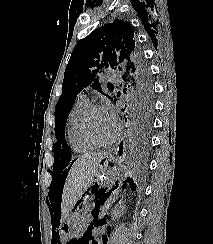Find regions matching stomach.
I'll return each instance as SVG.
<instances>
[{"label":"stomach","mask_w":213,"mask_h":244,"mask_svg":"<svg viewBox=\"0 0 213 244\" xmlns=\"http://www.w3.org/2000/svg\"><path fill=\"white\" fill-rule=\"evenodd\" d=\"M120 165L112 154H107L103 160L99 169L97 170L93 183L85 191L86 193L92 192L94 187H101L104 185H111L117 179V175L120 172ZM80 199L72 209L70 210L68 216L60 225V235L65 238H69L76 233H79L82 229V218L81 209L79 207Z\"/></svg>","instance_id":"0dacf381"}]
</instances>
